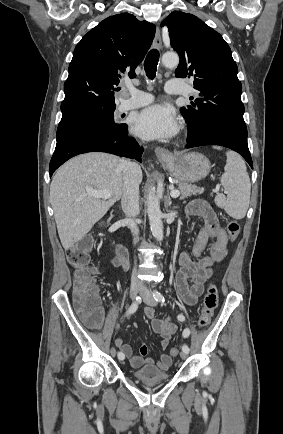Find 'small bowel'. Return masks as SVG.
I'll list each match as a JSON object with an SVG mask.
<instances>
[{"label":"small bowel","mask_w":283,"mask_h":434,"mask_svg":"<svg viewBox=\"0 0 283 434\" xmlns=\"http://www.w3.org/2000/svg\"><path fill=\"white\" fill-rule=\"evenodd\" d=\"M186 212L189 215L200 217L203 221L192 249V256L196 260L185 251L180 252L177 257L180 266L175 275L177 293L186 304L193 306L202 296L204 284L212 276L213 266L223 262L227 257L228 238L216 214L204 199L198 198L191 201L187 205ZM206 249L208 254H205ZM111 263L124 270L127 268V252L124 247L118 246L116 248V255L112 258ZM98 272L99 267H93V273ZM154 314V308H145L144 315L151 321L153 330L160 335V345L164 350L168 347L177 326L170 319L155 318ZM115 345L129 359L133 368H139L144 364L154 365V360L147 357L148 348L146 345H141L137 354L122 338H116ZM171 363V355L162 352L156 365L160 370L165 371L168 370Z\"/></svg>","instance_id":"small-bowel-1"}]
</instances>
